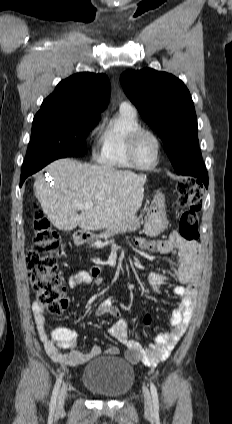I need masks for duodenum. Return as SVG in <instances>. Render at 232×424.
I'll use <instances>...</instances> for the list:
<instances>
[{"instance_id": "1", "label": "duodenum", "mask_w": 232, "mask_h": 424, "mask_svg": "<svg viewBox=\"0 0 232 424\" xmlns=\"http://www.w3.org/2000/svg\"><path fill=\"white\" fill-rule=\"evenodd\" d=\"M92 238H93V235L90 234V233H86V232H79L76 235V241L79 242V243L80 242H85V241H87L89 239H92ZM94 271L97 272V273H99L100 272V269L95 268Z\"/></svg>"}]
</instances>
